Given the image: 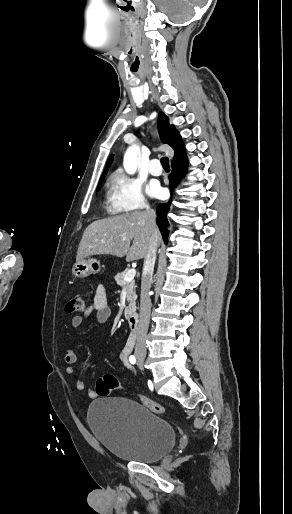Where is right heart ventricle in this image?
<instances>
[{
    "mask_svg": "<svg viewBox=\"0 0 292 514\" xmlns=\"http://www.w3.org/2000/svg\"><path fill=\"white\" fill-rule=\"evenodd\" d=\"M104 206L107 214L109 215H116L120 212V210L114 205L109 193L105 196Z\"/></svg>",
    "mask_w": 292,
    "mask_h": 514,
    "instance_id": "right-heart-ventricle-1",
    "label": "right heart ventricle"
}]
</instances>
